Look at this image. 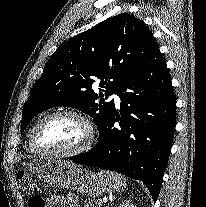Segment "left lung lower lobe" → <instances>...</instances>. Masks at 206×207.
Listing matches in <instances>:
<instances>
[{"mask_svg": "<svg viewBox=\"0 0 206 207\" xmlns=\"http://www.w3.org/2000/svg\"><path fill=\"white\" fill-rule=\"evenodd\" d=\"M115 111L97 145L73 162L142 181L159 195L175 132L176 100L166 62L157 46L117 92ZM119 122L120 128L114 123Z\"/></svg>", "mask_w": 206, "mask_h": 207, "instance_id": "1", "label": "left lung lower lobe"}]
</instances>
